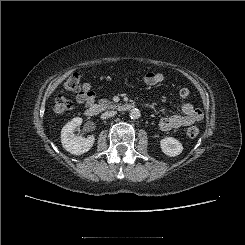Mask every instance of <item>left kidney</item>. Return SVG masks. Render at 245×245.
I'll list each match as a JSON object with an SVG mask.
<instances>
[{
  "label": "left kidney",
  "mask_w": 245,
  "mask_h": 245,
  "mask_svg": "<svg viewBox=\"0 0 245 245\" xmlns=\"http://www.w3.org/2000/svg\"><path fill=\"white\" fill-rule=\"evenodd\" d=\"M160 147L164 154L175 157L181 154L183 150L182 144L173 137H166L160 141Z\"/></svg>",
  "instance_id": "obj_1"
}]
</instances>
